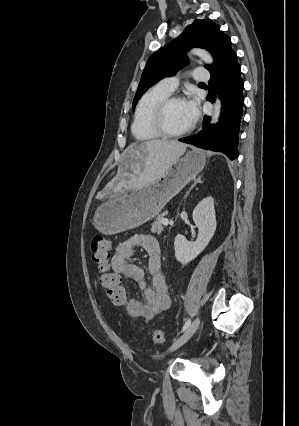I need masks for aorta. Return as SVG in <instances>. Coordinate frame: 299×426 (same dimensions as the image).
<instances>
[{"label": "aorta", "instance_id": "aorta-1", "mask_svg": "<svg viewBox=\"0 0 299 426\" xmlns=\"http://www.w3.org/2000/svg\"><path fill=\"white\" fill-rule=\"evenodd\" d=\"M190 54L198 56L202 61H204L207 64L213 63L212 56L210 55L209 52H207L204 49L193 48L191 49ZM221 108H222L221 101L219 97L217 96L214 102V111H213L212 120H211L212 124H216L218 122L220 118V114H221Z\"/></svg>", "mask_w": 299, "mask_h": 426}]
</instances>
